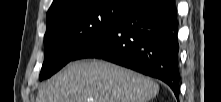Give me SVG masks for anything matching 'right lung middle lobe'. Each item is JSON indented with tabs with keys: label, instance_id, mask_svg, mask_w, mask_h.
<instances>
[{
	"label": "right lung middle lobe",
	"instance_id": "right-lung-middle-lobe-1",
	"mask_svg": "<svg viewBox=\"0 0 221 102\" xmlns=\"http://www.w3.org/2000/svg\"><path fill=\"white\" fill-rule=\"evenodd\" d=\"M130 0H84L47 19L44 63L39 79H46L75 60L86 46L125 16Z\"/></svg>",
	"mask_w": 221,
	"mask_h": 102
}]
</instances>
